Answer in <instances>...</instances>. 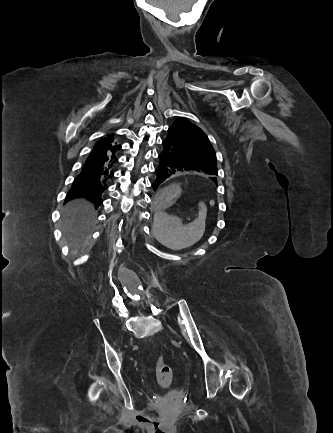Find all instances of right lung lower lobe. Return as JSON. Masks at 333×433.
Segmentation results:
<instances>
[{
  "label": "right lung lower lobe",
  "instance_id": "right-lung-lower-lobe-1",
  "mask_svg": "<svg viewBox=\"0 0 333 433\" xmlns=\"http://www.w3.org/2000/svg\"><path fill=\"white\" fill-rule=\"evenodd\" d=\"M121 145H105L97 142L88 156L80 174L76 177L68 198L84 196L97 208L103 203L102 193L108 189V182L114 175V167L118 162L117 151Z\"/></svg>",
  "mask_w": 333,
  "mask_h": 433
}]
</instances>
